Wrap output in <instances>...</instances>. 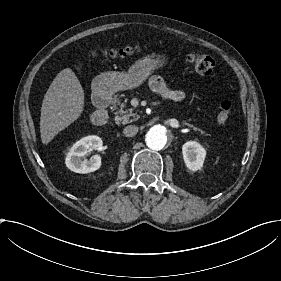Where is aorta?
Instances as JSON below:
<instances>
[{"label":"aorta","mask_w":281,"mask_h":281,"mask_svg":"<svg viewBox=\"0 0 281 281\" xmlns=\"http://www.w3.org/2000/svg\"><path fill=\"white\" fill-rule=\"evenodd\" d=\"M167 129L162 125H155L146 134V144L152 150H161L168 143Z\"/></svg>","instance_id":"1"}]
</instances>
